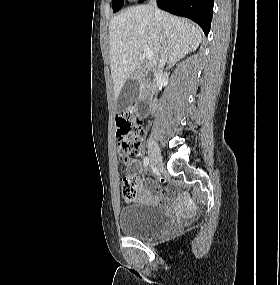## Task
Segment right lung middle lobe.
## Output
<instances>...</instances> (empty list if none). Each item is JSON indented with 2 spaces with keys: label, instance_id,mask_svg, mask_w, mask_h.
<instances>
[{
  "label": "right lung middle lobe",
  "instance_id": "1",
  "mask_svg": "<svg viewBox=\"0 0 280 285\" xmlns=\"http://www.w3.org/2000/svg\"><path fill=\"white\" fill-rule=\"evenodd\" d=\"M124 4V0H112V8H113V12H117L119 11Z\"/></svg>",
  "mask_w": 280,
  "mask_h": 285
}]
</instances>
